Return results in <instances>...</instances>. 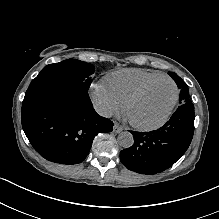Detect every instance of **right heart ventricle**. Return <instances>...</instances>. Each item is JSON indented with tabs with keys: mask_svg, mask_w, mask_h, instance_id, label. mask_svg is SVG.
Returning <instances> with one entry per match:
<instances>
[{
	"mask_svg": "<svg viewBox=\"0 0 219 219\" xmlns=\"http://www.w3.org/2000/svg\"><path fill=\"white\" fill-rule=\"evenodd\" d=\"M160 77L163 75L158 72L143 69H122L109 75L106 83L114 97L122 105H125L134 93Z\"/></svg>",
	"mask_w": 219,
	"mask_h": 219,
	"instance_id": "obj_1",
	"label": "right heart ventricle"
}]
</instances>
